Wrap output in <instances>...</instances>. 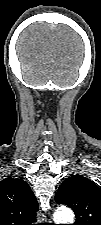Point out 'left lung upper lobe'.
<instances>
[{
	"mask_svg": "<svg viewBox=\"0 0 101 225\" xmlns=\"http://www.w3.org/2000/svg\"><path fill=\"white\" fill-rule=\"evenodd\" d=\"M55 200L73 209L74 225H101V190L91 180L75 175L60 185Z\"/></svg>",
	"mask_w": 101,
	"mask_h": 225,
	"instance_id": "1",
	"label": "left lung upper lobe"
}]
</instances>
